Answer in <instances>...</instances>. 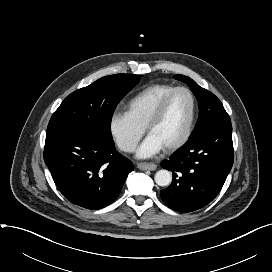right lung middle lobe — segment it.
<instances>
[{"mask_svg": "<svg viewBox=\"0 0 272 272\" xmlns=\"http://www.w3.org/2000/svg\"><path fill=\"white\" fill-rule=\"evenodd\" d=\"M140 78L134 74L105 76L71 93L52 115L46 138L67 131L91 130L113 142L110 126L114 110Z\"/></svg>", "mask_w": 272, "mask_h": 272, "instance_id": "dd1d6c3e", "label": "right lung middle lobe"}]
</instances>
